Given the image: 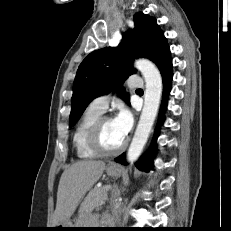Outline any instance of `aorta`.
Wrapping results in <instances>:
<instances>
[{"mask_svg": "<svg viewBox=\"0 0 231 231\" xmlns=\"http://www.w3.org/2000/svg\"><path fill=\"white\" fill-rule=\"evenodd\" d=\"M134 66L142 73L146 89L144 92V106L127 153V160L131 164L138 160L148 140L157 116L163 89L160 71L151 61L138 59Z\"/></svg>", "mask_w": 231, "mask_h": 231, "instance_id": "762f6f07", "label": "aorta"}]
</instances>
